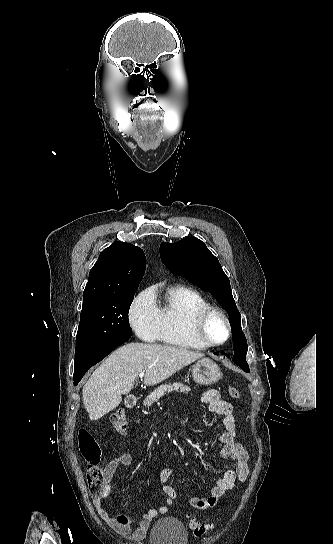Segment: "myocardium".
Masks as SVG:
<instances>
[{
  "mask_svg": "<svg viewBox=\"0 0 333 544\" xmlns=\"http://www.w3.org/2000/svg\"><path fill=\"white\" fill-rule=\"evenodd\" d=\"M215 315L219 316L224 321L227 328V336L220 342L211 340L207 334V324L210 318ZM194 333L198 341L205 347H218L226 344L230 340L232 336V326L228 316L222 309L215 306H208L197 314L194 321Z\"/></svg>",
  "mask_w": 333,
  "mask_h": 544,
  "instance_id": "myocardium-1",
  "label": "myocardium"
}]
</instances>
